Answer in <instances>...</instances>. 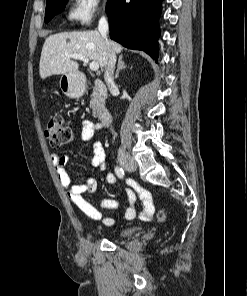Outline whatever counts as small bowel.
<instances>
[{"mask_svg":"<svg viewBox=\"0 0 247 296\" xmlns=\"http://www.w3.org/2000/svg\"><path fill=\"white\" fill-rule=\"evenodd\" d=\"M101 129L102 126L100 123L84 120L82 122V140L84 142H92L94 134L101 131ZM92 148L93 156L91 158V165L102 171L106 168L105 151L102 145L97 141L92 142ZM51 160L57 171L61 185L66 189L69 199L78 208V210H80L84 215L92 220L99 221L103 225L108 227L112 226L115 222V218L104 216L100 209L117 210L120 208V204L115 200L105 199L100 202V209L95 207L83 197L84 193L94 192L96 190L97 181L95 177L87 176L81 183H74L65 168L68 156L58 153H52ZM105 180L108 184L111 185L117 182V178L113 173H108ZM127 184L128 187L126 188V192L129 199V207L117 217L127 220L134 219L137 214V196H140L144 201V207L140 214V218L142 220L149 219L152 215L153 206L149 200L148 194L133 181H128ZM147 214L149 215L147 216Z\"/></svg>","mask_w":247,"mask_h":296,"instance_id":"c3829d8e","label":"small bowel"}]
</instances>
